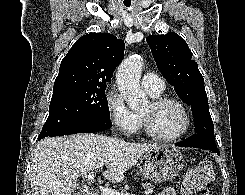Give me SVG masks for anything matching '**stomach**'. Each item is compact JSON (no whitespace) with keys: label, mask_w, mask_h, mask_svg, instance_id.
<instances>
[{"label":"stomach","mask_w":245,"mask_h":195,"mask_svg":"<svg viewBox=\"0 0 245 195\" xmlns=\"http://www.w3.org/2000/svg\"><path fill=\"white\" fill-rule=\"evenodd\" d=\"M184 166L181 152L172 146H161L146 152L139 169L145 179L164 182L176 177Z\"/></svg>","instance_id":"1"}]
</instances>
